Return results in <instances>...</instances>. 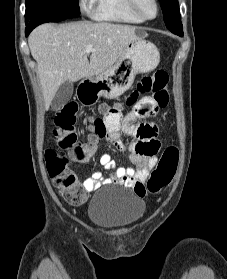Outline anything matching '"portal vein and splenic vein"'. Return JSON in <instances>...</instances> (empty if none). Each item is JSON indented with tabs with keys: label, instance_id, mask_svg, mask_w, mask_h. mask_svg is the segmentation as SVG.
I'll return each mask as SVG.
<instances>
[{
	"label": "portal vein and splenic vein",
	"instance_id": "18ae733b",
	"mask_svg": "<svg viewBox=\"0 0 227 279\" xmlns=\"http://www.w3.org/2000/svg\"><path fill=\"white\" fill-rule=\"evenodd\" d=\"M93 50H94L93 46H92V45H88V46L86 47L85 52L89 54V53H90L91 51H93Z\"/></svg>",
	"mask_w": 227,
	"mask_h": 279
}]
</instances>
